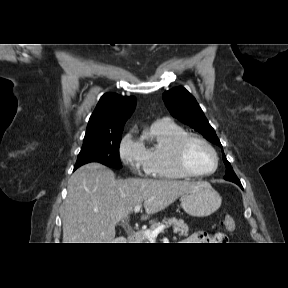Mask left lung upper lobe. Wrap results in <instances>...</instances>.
<instances>
[{"label": "left lung upper lobe", "mask_w": 288, "mask_h": 288, "mask_svg": "<svg viewBox=\"0 0 288 288\" xmlns=\"http://www.w3.org/2000/svg\"><path fill=\"white\" fill-rule=\"evenodd\" d=\"M163 100L173 117L189 125L212 143L222 147L214 129L206 119L196 99L184 88L176 87L163 94ZM226 166L225 180L239 181L230 163L223 156Z\"/></svg>", "instance_id": "left-lung-upper-lobe-1"}]
</instances>
